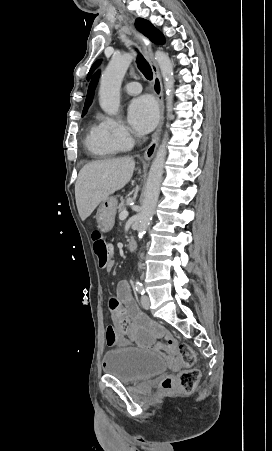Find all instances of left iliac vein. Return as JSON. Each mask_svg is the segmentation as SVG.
Here are the masks:
<instances>
[{
	"mask_svg": "<svg viewBox=\"0 0 272 451\" xmlns=\"http://www.w3.org/2000/svg\"><path fill=\"white\" fill-rule=\"evenodd\" d=\"M141 306H142L144 309H146V310H148V309L150 308V299H149V297H148L147 295H145V294H143V295L141 296Z\"/></svg>",
	"mask_w": 272,
	"mask_h": 451,
	"instance_id": "obj_1",
	"label": "left iliac vein"
}]
</instances>
